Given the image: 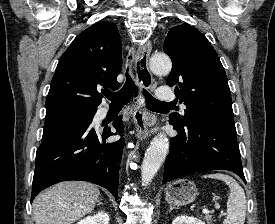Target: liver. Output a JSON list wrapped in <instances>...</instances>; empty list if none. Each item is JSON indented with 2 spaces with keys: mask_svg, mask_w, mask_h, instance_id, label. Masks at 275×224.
Instances as JSON below:
<instances>
[{
  "mask_svg": "<svg viewBox=\"0 0 275 224\" xmlns=\"http://www.w3.org/2000/svg\"><path fill=\"white\" fill-rule=\"evenodd\" d=\"M100 196L97 186L84 181L61 182L33 201L36 224H73L94 209Z\"/></svg>",
  "mask_w": 275,
  "mask_h": 224,
  "instance_id": "1",
  "label": "liver"
}]
</instances>
